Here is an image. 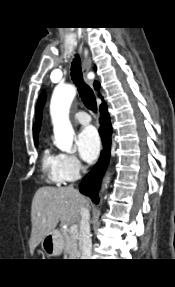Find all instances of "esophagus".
Returning a JSON list of instances; mask_svg holds the SVG:
<instances>
[{
  "label": "esophagus",
  "mask_w": 175,
  "mask_h": 287,
  "mask_svg": "<svg viewBox=\"0 0 175 287\" xmlns=\"http://www.w3.org/2000/svg\"><path fill=\"white\" fill-rule=\"evenodd\" d=\"M81 52H83V44H81ZM91 69V60L90 59H84L83 60V65H82V72L85 81L93 87V81L95 78L94 72L90 71Z\"/></svg>",
  "instance_id": "obj_1"
}]
</instances>
